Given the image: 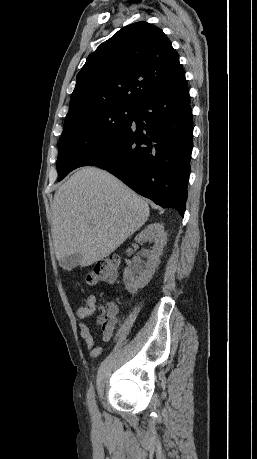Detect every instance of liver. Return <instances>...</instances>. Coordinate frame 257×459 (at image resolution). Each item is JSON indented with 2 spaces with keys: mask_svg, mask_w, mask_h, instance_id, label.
Returning <instances> with one entry per match:
<instances>
[{
  "mask_svg": "<svg viewBox=\"0 0 257 459\" xmlns=\"http://www.w3.org/2000/svg\"><path fill=\"white\" fill-rule=\"evenodd\" d=\"M149 211L144 199L107 171L81 168L54 195L51 232L56 258L60 263L78 253L80 266L96 263L142 227Z\"/></svg>",
  "mask_w": 257,
  "mask_h": 459,
  "instance_id": "liver-1",
  "label": "liver"
}]
</instances>
